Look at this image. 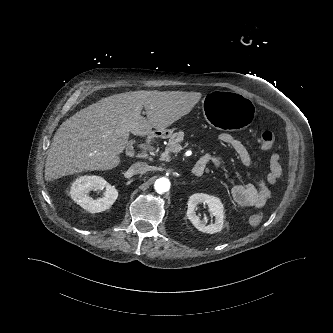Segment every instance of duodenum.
<instances>
[{"label": "duodenum", "instance_id": "duodenum-1", "mask_svg": "<svg viewBox=\"0 0 333 333\" xmlns=\"http://www.w3.org/2000/svg\"><path fill=\"white\" fill-rule=\"evenodd\" d=\"M161 137H162V132H160V131H154V132L150 133V134L148 135V137H147L146 146H147V147L151 146V144H152L155 140H157V139H159V138H161ZM143 159L145 160V159H146V156H144ZM203 172H204V165L201 164V163H198V162H197V163L194 165V167H193V173H194V175H196V176H200V175L203 174Z\"/></svg>", "mask_w": 333, "mask_h": 333}]
</instances>
